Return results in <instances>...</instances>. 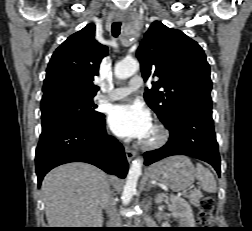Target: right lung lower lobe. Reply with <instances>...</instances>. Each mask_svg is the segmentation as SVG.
Returning a JSON list of instances; mask_svg holds the SVG:
<instances>
[{"label":"right lung lower lobe","mask_w":252,"mask_h":231,"mask_svg":"<svg viewBox=\"0 0 252 231\" xmlns=\"http://www.w3.org/2000/svg\"><path fill=\"white\" fill-rule=\"evenodd\" d=\"M68 162L90 163L120 178L128 171L123 146L106 134L104 115L95 123L64 121L42 129L35 157L38 184L52 168Z\"/></svg>","instance_id":"98d812e1"}]
</instances>
